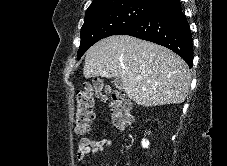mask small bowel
<instances>
[{
	"label": "small bowel",
	"mask_w": 227,
	"mask_h": 166,
	"mask_svg": "<svg viewBox=\"0 0 227 166\" xmlns=\"http://www.w3.org/2000/svg\"><path fill=\"white\" fill-rule=\"evenodd\" d=\"M111 140L107 138H101L98 140L90 138H82L78 144L77 160L80 166L86 165L87 157L90 155H98L104 151L105 148L111 146Z\"/></svg>",
	"instance_id": "obj_1"
}]
</instances>
